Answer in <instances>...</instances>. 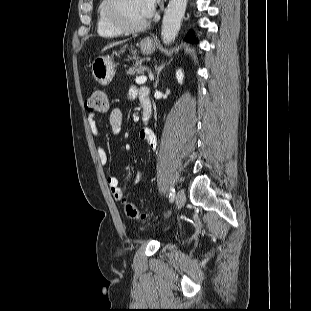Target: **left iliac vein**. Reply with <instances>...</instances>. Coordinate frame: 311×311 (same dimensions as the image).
I'll use <instances>...</instances> for the list:
<instances>
[{
  "mask_svg": "<svg viewBox=\"0 0 311 311\" xmlns=\"http://www.w3.org/2000/svg\"><path fill=\"white\" fill-rule=\"evenodd\" d=\"M186 201L185 192L183 190H179L176 194V209L180 210Z\"/></svg>",
  "mask_w": 311,
  "mask_h": 311,
  "instance_id": "4c4485c4",
  "label": "left iliac vein"
}]
</instances>
